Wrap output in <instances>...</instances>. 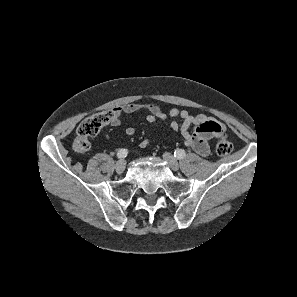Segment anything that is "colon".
I'll return each instance as SVG.
<instances>
[{"instance_id": "5ec220e1", "label": "colon", "mask_w": 297, "mask_h": 297, "mask_svg": "<svg viewBox=\"0 0 297 297\" xmlns=\"http://www.w3.org/2000/svg\"><path fill=\"white\" fill-rule=\"evenodd\" d=\"M115 117L114 111H103L84 119L77 127V137L73 142V150L76 153L84 154L90 149V138ZM232 143L226 134H221L216 143V152L220 156H227L232 151Z\"/></svg>"}]
</instances>
